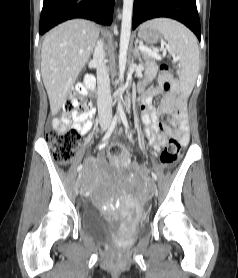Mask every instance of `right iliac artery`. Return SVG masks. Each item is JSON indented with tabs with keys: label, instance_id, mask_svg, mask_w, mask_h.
Returning a JSON list of instances; mask_svg holds the SVG:
<instances>
[{
	"label": "right iliac artery",
	"instance_id": "obj_1",
	"mask_svg": "<svg viewBox=\"0 0 238 278\" xmlns=\"http://www.w3.org/2000/svg\"><path fill=\"white\" fill-rule=\"evenodd\" d=\"M116 123H117V115H115V117L113 118L111 125H110L108 131L105 133L102 141H106L111 136L113 130L115 129ZM82 167H83V165L80 164L77 168V171H80L82 169Z\"/></svg>",
	"mask_w": 238,
	"mask_h": 278
}]
</instances>
